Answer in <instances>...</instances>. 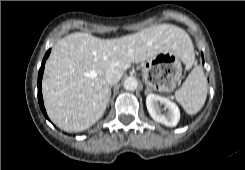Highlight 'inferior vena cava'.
Masks as SVG:
<instances>
[{
  "label": "inferior vena cava",
  "mask_w": 245,
  "mask_h": 170,
  "mask_svg": "<svg viewBox=\"0 0 245 170\" xmlns=\"http://www.w3.org/2000/svg\"><path fill=\"white\" fill-rule=\"evenodd\" d=\"M122 75L123 73L116 68H110L105 73V79L108 84L112 85L117 83L121 79Z\"/></svg>",
  "instance_id": "602c4592"
}]
</instances>
